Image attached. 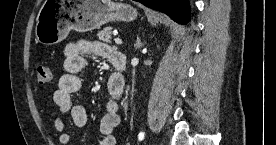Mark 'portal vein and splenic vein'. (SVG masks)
Here are the masks:
<instances>
[{
  "label": "portal vein and splenic vein",
  "mask_w": 276,
  "mask_h": 145,
  "mask_svg": "<svg viewBox=\"0 0 276 145\" xmlns=\"http://www.w3.org/2000/svg\"><path fill=\"white\" fill-rule=\"evenodd\" d=\"M115 43L117 45H121L122 44V40L120 38H115Z\"/></svg>",
  "instance_id": "1"
}]
</instances>
